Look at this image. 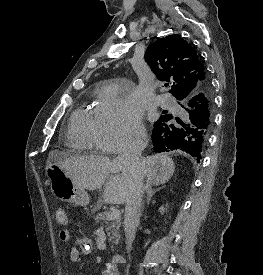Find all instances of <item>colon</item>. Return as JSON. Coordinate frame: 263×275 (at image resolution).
Returning a JSON list of instances; mask_svg holds the SVG:
<instances>
[{
    "mask_svg": "<svg viewBox=\"0 0 263 275\" xmlns=\"http://www.w3.org/2000/svg\"><path fill=\"white\" fill-rule=\"evenodd\" d=\"M56 221L60 225H66L68 223V214L64 208H58L55 213ZM62 237L64 239L68 238L66 229L62 230Z\"/></svg>",
    "mask_w": 263,
    "mask_h": 275,
    "instance_id": "obj_1",
    "label": "colon"
}]
</instances>
